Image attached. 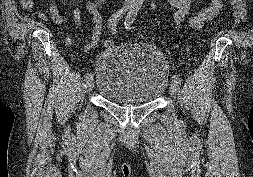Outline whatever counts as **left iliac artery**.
<instances>
[{"mask_svg": "<svg viewBox=\"0 0 253 177\" xmlns=\"http://www.w3.org/2000/svg\"><path fill=\"white\" fill-rule=\"evenodd\" d=\"M138 10H139L138 8H132L129 10L124 22V26L127 31L131 30L133 21L137 16ZM172 81H174L177 84L181 83V79L179 78L178 75H172Z\"/></svg>", "mask_w": 253, "mask_h": 177, "instance_id": "1", "label": "left iliac artery"}]
</instances>
